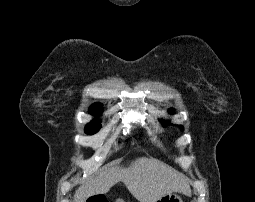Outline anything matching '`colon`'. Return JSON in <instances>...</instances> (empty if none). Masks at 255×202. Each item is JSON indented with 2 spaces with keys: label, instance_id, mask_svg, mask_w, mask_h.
I'll use <instances>...</instances> for the list:
<instances>
[{
  "label": "colon",
  "instance_id": "obj_1",
  "mask_svg": "<svg viewBox=\"0 0 255 202\" xmlns=\"http://www.w3.org/2000/svg\"><path fill=\"white\" fill-rule=\"evenodd\" d=\"M87 202H107L104 199H100L98 197H92Z\"/></svg>",
  "mask_w": 255,
  "mask_h": 202
}]
</instances>
